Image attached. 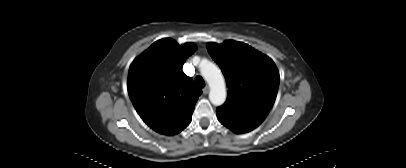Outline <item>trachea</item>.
Wrapping results in <instances>:
<instances>
[{
	"mask_svg": "<svg viewBox=\"0 0 406 168\" xmlns=\"http://www.w3.org/2000/svg\"><path fill=\"white\" fill-rule=\"evenodd\" d=\"M195 85L199 88H203L205 86V82L201 76H197L194 79Z\"/></svg>",
	"mask_w": 406,
	"mask_h": 168,
	"instance_id": "obj_1",
	"label": "trachea"
}]
</instances>
